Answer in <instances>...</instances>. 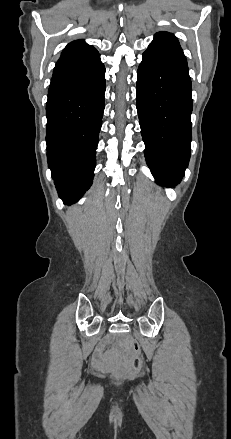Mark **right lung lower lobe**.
<instances>
[{
	"label": "right lung lower lobe",
	"instance_id": "right-lung-lower-lobe-1",
	"mask_svg": "<svg viewBox=\"0 0 231 439\" xmlns=\"http://www.w3.org/2000/svg\"><path fill=\"white\" fill-rule=\"evenodd\" d=\"M105 89L100 56L51 79L46 105L47 159L65 203L77 202L92 184Z\"/></svg>",
	"mask_w": 231,
	"mask_h": 439
}]
</instances>
